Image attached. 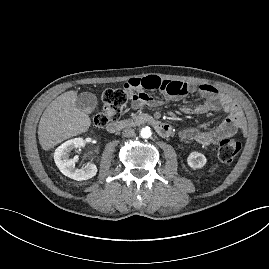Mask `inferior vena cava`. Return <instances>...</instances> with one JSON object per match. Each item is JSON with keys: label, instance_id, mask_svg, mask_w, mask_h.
I'll list each match as a JSON object with an SVG mask.
<instances>
[{"label": "inferior vena cava", "instance_id": "inferior-vena-cava-1", "mask_svg": "<svg viewBox=\"0 0 269 269\" xmlns=\"http://www.w3.org/2000/svg\"><path fill=\"white\" fill-rule=\"evenodd\" d=\"M122 134L124 137H133L135 135V131L131 127H127L123 129Z\"/></svg>", "mask_w": 269, "mask_h": 269}]
</instances>
